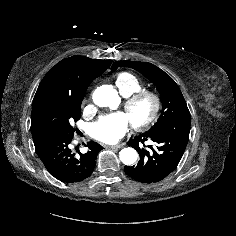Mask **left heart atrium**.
<instances>
[{
	"mask_svg": "<svg viewBox=\"0 0 236 236\" xmlns=\"http://www.w3.org/2000/svg\"><path fill=\"white\" fill-rule=\"evenodd\" d=\"M128 127V116L122 112H117L106 115L92 124L90 134L101 142L112 144L125 135Z\"/></svg>",
	"mask_w": 236,
	"mask_h": 236,
	"instance_id": "left-heart-atrium-1",
	"label": "left heart atrium"
}]
</instances>
